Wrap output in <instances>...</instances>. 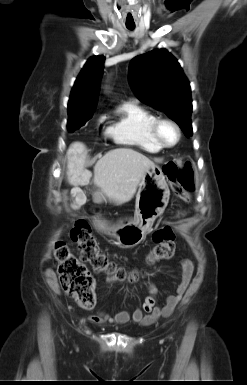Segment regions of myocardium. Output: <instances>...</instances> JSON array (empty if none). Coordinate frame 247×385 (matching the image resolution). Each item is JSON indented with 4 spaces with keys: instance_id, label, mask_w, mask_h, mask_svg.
<instances>
[{
    "instance_id": "f54148a6",
    "label": "myocardium",
    "mask_w": 247,
    "mask_h": 385,
    "mask_svg": "<svg viewBox=\"0 0 247 385\" xmlns=\"http://www.w3.org/2000/svg\"><path fill=\"white\" fill-rule=\"evenodd\" d=\"M170 125L171 127L174 128V130L176 131V134H177V138L175 140L174 143L172 144H167L165 143L162 138H161V135H160V130H161V127L163 125ZM150 133H151V136L152 138L154 139V141L161 147V148H164V149H170V148H173L175 147L181 140V129L179 127V125L172 119L170 118H159L157 117L153 123L151 124V127H150Z\"/></svg>"
}]
</instances>
